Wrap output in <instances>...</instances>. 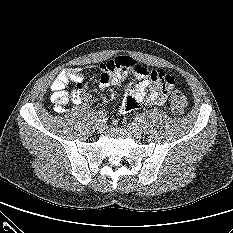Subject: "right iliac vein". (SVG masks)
<instances>
[{
    "mask_svg": "<svg viewBox=\"0 0 233 233\" xmlns=\"http://www.w3.org/2000/svg\"><path fill=\"white\" fill-rule=\"evenodd\" d=\"M105 122L100 119V120H97L96 124H95V129L98 133H102L104 130H105Z\"/></svg>",
    "mask_w": 233,
    "mask_h": 233,
    "instance_id": "1",
    "label": "right iliac vein"
}]
</instances>
